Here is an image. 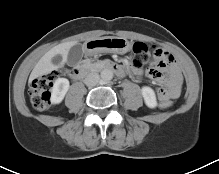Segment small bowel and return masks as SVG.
<instances>
[{"label": "small bowel", "instance_id": "obj_1", "mask_svg": "<svg viewBox=\"0 0 219 174\" xmlns=\"http://www.w3.org/2000/svg\"><path fill=\"white\" fill-rule=\"evenodd\" d=\"M141 73L139 69H131V74L135 78H138ZM165 73L168 76H165ZM147 75L160 83L166 84L168 87V89L164 86H157L155 88V97L157 99L170 100L171 98L178 97L182 84V74L169 51L163 48L155 49L153 67L147 71Z\"/></svg>", "mask_w": 219, "mask_h": 174}]
</instances>
